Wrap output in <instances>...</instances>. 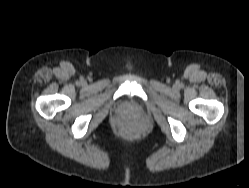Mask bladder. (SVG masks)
Masks as SVG:
<instances>
[{
    "label": "bladder",
    "instance_id": "31cf9c89",
    "mask_svg": "<svg viewBox=\"0 0 249 188\" xmlns=\"http://www.w3.org/2000/svg\"><path fill=\"white\" fill-rule=\"evenodd\" d=\"M124 110L125 111H128V112H132V111H135V108L130 106V105H125L124 106Z\"/></svg>",
    "mask_w": 249,
    "mask_h": 188
}]
</instances>
